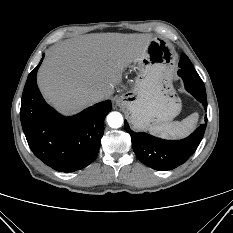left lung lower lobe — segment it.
I'll return each mask as SVG.
<instances>
[{
	"instance_id": "left-lung-lower-lobe-1",
	"label": "left lung lower lobe",
	"mask_w": 233,
	"mask_h": 233,
	"mask_svg": "<svg viewBox=\"0 0 233 233\" xmlns=\"http://www.w3.org/2000/svg\"><path fill=\"white\" fill-rule=\"evenodd\" d=\"M178 74L183 78L186 89L200 101L205 109L207 98L205 86L196 82L197 72L189 58L182 54L179 62ZM207 122V117L205 118ZM126 131L131 136L132 147L137 158L145 165L155 170H171L183 164L196 151L200 144L206 123L201 125L189 137L180 141L163 140L146 133H136L130 130L128 123H124Z\"/></svg>"
}]
</instances>
